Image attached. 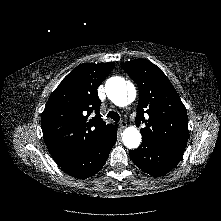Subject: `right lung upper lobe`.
Segmentation results:
<instances>
[{"label": "right lung upper lobe", "mask_w": 221, "mask_h": 221, "mask_svg": "<svg viewBox=\"0 0 221 221\" xmlns=\"http://www.w3.org/2000/svg\"><path fill=\"white\" fill-rule=\"evenodd\" d=\"M114 62L81 64L50 96L42 113L45 144L59 166L74 162L116 128L100 117L97 89Z\"/></svg>", "instance_id": "1"}]
</instances>
